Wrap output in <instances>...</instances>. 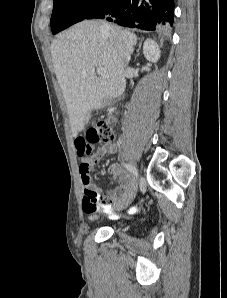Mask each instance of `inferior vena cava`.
<instances>
[{
  "instance_id": "inferior-vena-cava-1",
  "label": "inferior vena cava",
  "mask_w": 227,
  "mask_h": 298,
  "mask_svg": "<svg viewBox=\"0 0 227 298\" xmlns=\"http://www.w3.org/2000/svg\"><path fill=\"white\" fill-rule=\"evenodd\" d=\"M101 29L104 31V32H107L109 30H111V27L109 24H107L106 22H101ZM130 60V55L129 54H125V63L128 64Z\"/></svg>"
}]
</instances>
